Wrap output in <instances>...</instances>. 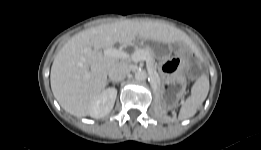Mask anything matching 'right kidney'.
Returning <instances> with one entry per match:
<instances>
[{
	"instance_id": "obj_1",
	"label": "right kidney",
	"mask_w": 261,
	"mask_h": 150,
	"mask_svg": "<svg viewBox=\"0 0 261 150\" xmlns=\"http://www.w3.org/2000/svg\"><path fill=\"white\" fill-rule=\"evenodd\" d=\"M116 96L115 88H107L102 91L91 105L90 116L93 118L105 117L113 109Z\"/></svg>"
}]
</instances>
